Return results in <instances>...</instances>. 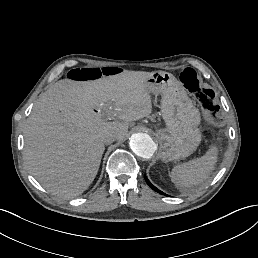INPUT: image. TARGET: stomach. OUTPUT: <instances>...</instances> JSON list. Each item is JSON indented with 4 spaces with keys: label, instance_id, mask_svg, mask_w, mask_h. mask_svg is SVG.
<instances>
[{
    "label": "stomach",
    "instance_id": "0dacf381",
    "mask_svg": "<svg viewBox=\"0 0 258 258\" xmlns=\"http://www.w3.org/2000/svg\"><path fill=\"white\" fill-rule=\"evenodd\" d=\"M146 92L161 96V112L166 128L158 131L159 157L177 161L194 153L201 142L200 112L183 84L171 73L155 71L144 82Z\"/></svg>",
    "mask_w": 258,
    "mask_h": 258
}]
</instances>
